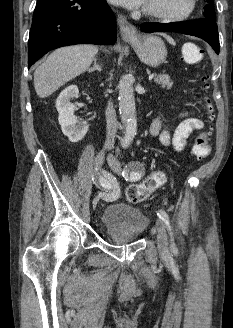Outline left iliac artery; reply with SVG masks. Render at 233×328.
<instances>
[{
    "instance_id": "left-iliac-artery-1",
    "label": "left iliac artery",
    "mask_w": 233,
    "mask_h": 328,
    "mask_svg": "<svg viewBox=\"0 0 233 328\" xmlns=\"http://www.w3.org/2000/svg\"><path fill=\"white\" fill-rule=\"evenodd\" d=\"M124 176V174H123ZM127 177V175H125ZM131 181H136V180H139L141 178V173L139 172H131L130 176L128 177ZM127 180V179H126ZM157 215L158 217L165 223L168 231H169V234L171 236V248L174 250L176 248V245L174 243V238H173V229H172V226H171V223H170V219H169V216L168 214L163 211V210H159L157 212Z\"/></svg>"
}]
</instances>
